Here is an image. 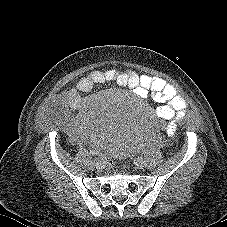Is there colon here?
<instances>
[{"label":"colon","mask_w":227,"mask_h":227,"mask_svg":"<svg viewBox=\"0 0 227 227\" xmlns=\"http://www.w3.org/2000/svg\"><path fill=\"white\" fill-rule=\"evenodd\" d=\"M163 128L165 130H174L180 135H185L189 132L190 127L187 123L182 122L181 120H172V119H165L163 121Z\"/></svg>","instance_id":"colon-1"}]
</instances>
